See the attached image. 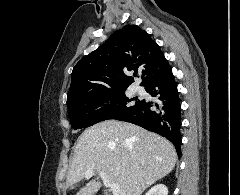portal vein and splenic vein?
<instances>
[{
	"instance_id": "18ae733b",
	"label": "portal vein and splenic vein",
	"mask_w": 240,
	"mask_h": 195,
	"mask_svg": "<svg viewBox=\"0 0 240 195\" xmlns=\"http://www.w3.org/2000/svg\"><path fill=\"white\" fill-rule=\"evenodd\" d=\"M95 169H89V171H85V177H92L93 173H94ZM103 179V177H102ZM103 183L104 185H106V187H110L113 195H119L120 193V185L119 183H110V181H107V179H103Z\"/></svg>"
}]
</instances>
